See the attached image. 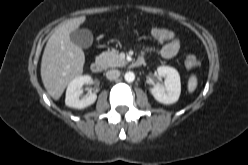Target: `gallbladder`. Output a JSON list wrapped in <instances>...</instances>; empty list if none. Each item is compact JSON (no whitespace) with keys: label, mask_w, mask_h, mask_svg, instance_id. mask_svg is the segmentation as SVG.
<instances>
[{"label":"gallbladder","mask_w":248,"mask_h":165,"mask_svg":"<svg viewBox=\"0 0 248 165\" xmlns=\"http://www.w3.org/2000/svg\"><path fill=\"white\" fill-rule=\"evenodd\" d=\"M73 43L81 48H89L93 43V35L88 29H80L70 34Z\"/></svg>","instance_id":"bac80fb5"}]
</instances>
